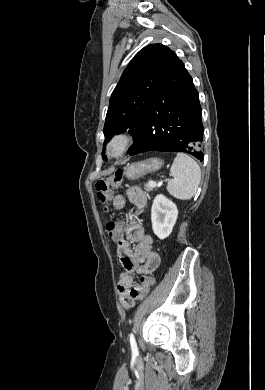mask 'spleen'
Returning a JSON list of instances; mask_svg holds the SVG:
<instances>
[{
  "instance_id": "spleen-1",
  "label": "spleen",
  "mask_w": 265,
  "mask_h": 390,
  "mask_svg": "<svg viewBox=\"0 0 265 390\" xmlns=\"http://www.w3.org/2000/svg\"><path fill=\"white\" fill-rule=\"evenodd\" d=\"M168 192L177 199L189 200L197 191L201 178L199 165L188 155L178 153L170 169Z\"/></svg>"
}]
</instances>
